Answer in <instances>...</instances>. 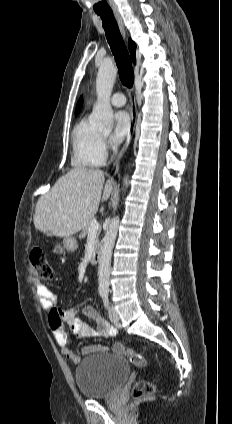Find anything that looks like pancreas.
I'll list each match as a JSON object with an SVG mask.
<instances>
[{"instance_id": "obj_1", "label": "pancreas", "mask_w": 232, "mask_h": 424, "mask_svg": "<svg viewBox=\"0 0 232 424\" xmlns=\"http://www.w3.org/2000/svg\"><path fill=\"white\" fill-rule=\"evenodd\" d=\"M92 220H94V218L90 219L87 223V225L82 229V232L80 234V238H84L88 233H89V227L91 225ZM100 231H98L96 233V243H98V237H99Z\"/></svg>"}]
</instances>
